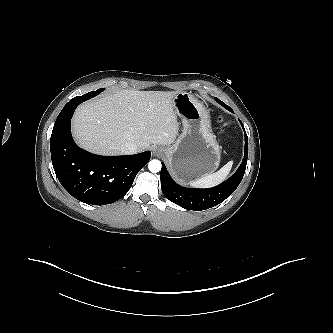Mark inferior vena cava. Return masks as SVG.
Segmentation results:
<instances>
[{"label":"inferior vena cava","instance_id":"602c4592","mask_svg":"<svg viewBox=\"0 0 333 333\" xmlns=\"http://www.w3.org/2000/svg\"><path fill=\"white\" fill-rule=\"evenodd\" d=\"M120 151L124 155H131L137 153L139 148L136 144L128 142L121 146Z\"/></svg>","mask_w":333,"mask_h":333}]
</instances>
